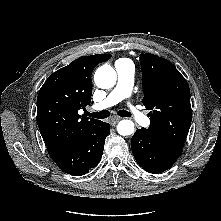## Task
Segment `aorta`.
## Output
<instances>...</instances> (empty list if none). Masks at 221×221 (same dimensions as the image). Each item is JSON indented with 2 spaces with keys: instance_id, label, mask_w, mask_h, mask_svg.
<instances>
[{
  "instance_id": "aorta-1",
  "label": "aorta",
  "mask_w": 221,
  "mask_h": 221,
  "mask_svg": "<svg viewBox=\"0 0 221 221\" xmlns=\"http://www.w3.org/2000/svg\"><path fill=\"white\" fill-rule=\"evenodd\" d=\"M94 81L99 88H112L117 81V74L113 67L103 65L99 67L94 75ZM117 131L122 136L134 133V123L131 120H121L117 125Z\"/></svg>"
}]
</instances>
